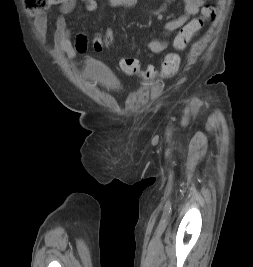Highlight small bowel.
Masks as SVG:
<instances>
[{
	"label": "small bowel",
	"instance_id": "1",
	"mask_svg": "<svg viewBox=\"0 0 253 267\" xmlns=\"http://www.w3.org/2000/svg\"><path fill=\"white\" fill-rule=\"evenodd\" d=\"M85 5V14L93 12L97 9V0H81ZM106 3L115 8L131 9L135 7L138 0H105ZM206 0H182L184 6V13L176 18L170 19L163 24V31L165 33L174 32L186 23L190 19L200 12V9L204 7ZM77 0H64L60 8L61 15L56 19L55 32H54V45L52 52L55 56H66L69 59H73L79 53H84L88 47V41L83 33H79L75 40L71 39V32L69 29L67 16H69L75 6ZM47 16L45 13H38L35 19V27L40 36H42L46 30ZM112 29H107L106 33H112ZM148 48L153 53L159 54L164 52L168 48L167 41H161L158 39H152L148 42Z\"/></svg>",
	"mask_w": 253,
	"mask_h": 267
}]
</instances>
